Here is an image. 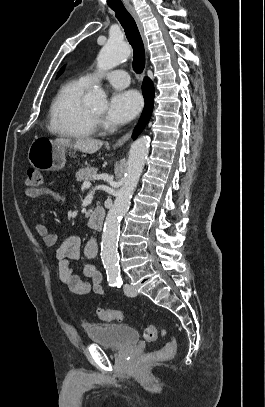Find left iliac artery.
<instances>
[{"label": "left iliac artery", "mask_w": 265, "mask_h": 407, "mask_svg": "<svg viewBox=\"0 0 265 407\" xmlns=\"http://www.w3.org/2000/svg\"><path fill=\"white\" fill-rule=\"evenodd\" d=\"M114 283H115V286L120 288L121 285L123 284L122 278L121 277L116 278V281H114Z\"/></svg>", "instance_id": "1"}]
</instances>
